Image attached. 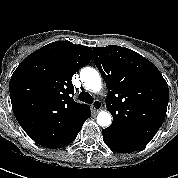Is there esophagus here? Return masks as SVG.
<instances>
[{
    "mask_svg": "<svg viewBox=\"0 0 178 178\" xmlns=\"http://www.w3.org/2000/svg\"><path fill=\"white\" fill-rule=\"evenodd\" d=\"M102 107V103L99 100H94L91 105V108L94 112H98Z\"/></svg>",
    "mask_w": 178,
    "mask_h": 178,
    "instance_id": "obj_1",
    "label": "esophagus"
}]
</instances>
